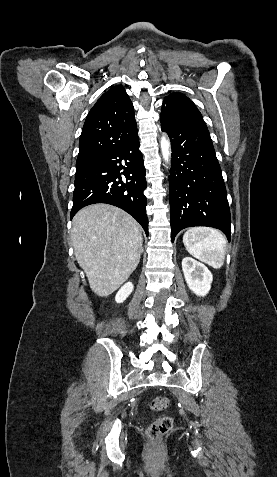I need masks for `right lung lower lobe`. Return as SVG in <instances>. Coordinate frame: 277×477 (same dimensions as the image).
I'll use <instances>...</instances> for the list:
<instances>
[{
	"mask_svg": "<svg viewBox=\"0 0 277 477\" xmlns=\"http://www.w3.org/2000/svg\"><path fill=\"white\" fill-rule=\"evenodd\" d=\"M146 187L136 134L124 144L76 167L71 218L87 205L107 203L132 215L148 235L147 199L143 193Z\"/></svg>",
	"mask_w": 277,
	"mask_h": 477,
	"instance_id": "obj_1",
	"label": "right lung lower lobe"
}]
</instances>
